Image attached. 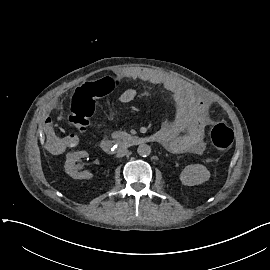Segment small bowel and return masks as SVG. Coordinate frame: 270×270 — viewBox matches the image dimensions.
<instances>
[{
    "label": "small bowel",
    "instance_id": "small-bowel-1",
    "mask_svg": "<svg viewBox=\"0 0 270 270\" xmlns=\"http://www.w3.org/2000/svg\"><path fill=\"white\" fill-rule=\"evenodd\" d=\"M126 75L159 86L170 92L178 102L190 104L192 114L189 119L177 118L165 122L160 126L156 135L165 149L172 153H202L205 147V130L211 123V118L208 115L211 101L179 80L157 70L130 69ZM134 98L135 91L132 88H127L121 93L119 100L128 104ZM44 127L47 130H52L55 127V122L52 119H47L44 122ZM44 140L50 143V149L54 153H60L65 148L74 147L77 143L76 138L71 135L59 139L53 132H47L44 135Z\"/></svg>",
    "mask_w": 270,
    "mask_h": 270
}]
</instances>
